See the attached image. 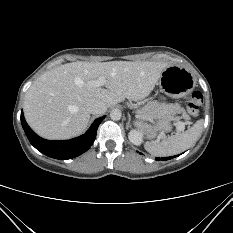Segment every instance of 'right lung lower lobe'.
I'll list each match as a JSON object with an SVG mask.
<instances>
[{"instance_id":"right-lung-lower-lobe-1","label":"right lung lower lobe","mask_w":233,"mask_h":233,"mask_svg":"<svg viewBox=\"0 0 233 233\" xmlns=\"http://www.w3.org/2000/svg\"><path fill=\"white\" fill-rule=\"evenodd\" d=\"M104 117L96 119L85 134L63 141H51L39 137L26 123L23 112H21V123L30 143L38 151L49 157L65 160L77 157L91 147L96 138L98 126Z\"/></svg>"}]
</instances>
